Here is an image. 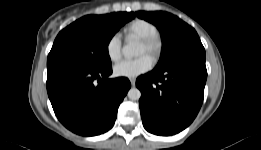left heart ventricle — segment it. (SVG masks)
I'll list each match as a JSON object with an SVG mask.
<instances>
[{
	"label": "left heart ventricle",
	"instance_id": "1",
	"mask_svg": "<svg viewBox=\"0 0 261 150\" xmlns=\"http://www.w3.org/2000/svg\"><path fill=\"white\" fill-rule=\"evenodd\" d=\"M146 53H147V51H146L145 46L142 43H140L139 49H138V55H144Z\"/></svg>",
	"mask_w": 261,
	"mask_h": 150
}]
</instances>
